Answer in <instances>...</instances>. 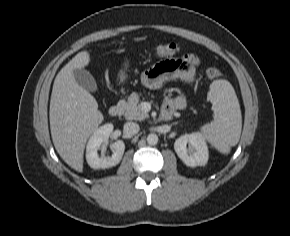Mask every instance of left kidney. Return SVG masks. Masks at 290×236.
<instances>
[{
	"mask_svg": "<svg viewBox=\"0 0 290 236\" xmlns=\"http://www.w3.org/2000/svg\"><path fill=\"white\" fill-rule=\"evenodd\" d=\"M187 144L191 149H187ZM178 157L190 167L206 165L209 157L208 147L200 133H191L180 136L174 143ZM190 151V155L188 154Z\"/></svg>",
	"mask_w": 290,
	"mask_h": 236,
	"instance_id": "1",
	"label": "left kidney"
}]
</instances>
